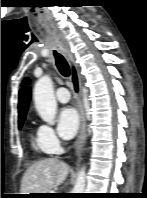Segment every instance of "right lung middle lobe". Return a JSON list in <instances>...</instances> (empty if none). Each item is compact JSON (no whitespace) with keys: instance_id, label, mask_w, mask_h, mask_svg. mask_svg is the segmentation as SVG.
I'll return each instance as SVG.
<instances>
[{"instance_id":"right-lung-middle-lobe-1","label":"right lung middle lobe","mask_w":147,"mask_h":198,"mask_svg":"<svg viewBox=\"0 0 147 198\" xmlns=\"http://www.w3.org/2000/svg\"><path fill=\"white\" fill-rule=\"evenodd\" d=\"M24 120H25V119L18 120V128H19V129L22 127L23 121H24Z\"/></svg>"}]
</instances>
